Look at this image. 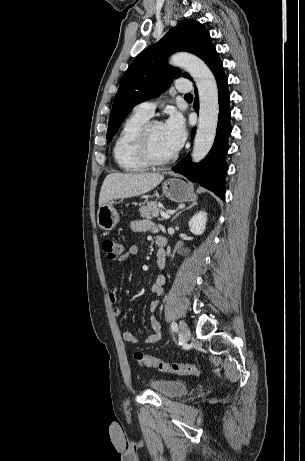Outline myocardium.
Instances as JSON below:
<instances>
[{
	"mask_svg": "<svg viewBox=\"0 0 305 461\" xmlns=\"http://www.w3.org/2000/svg\"><path fill=\"white\" fill-rule=\"evenodd\" d=\"M157 125H163L159 120H148L139 130L135 138V150L138 157L147 165L161 166L174 161L178 153L174 152L165 158H156L150 150V134Z\"/></svg>",
	"mask_w": 305,
	"mask_h": 461,
	"instance_id": "f54148a6",
	"label": "myocardium"
}]
</instances>
